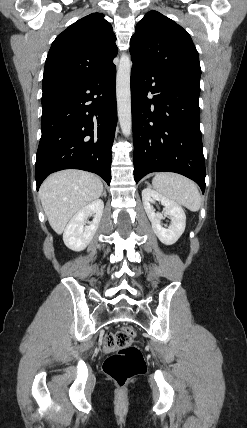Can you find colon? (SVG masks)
Returning a JSON list of instances; mask_svg holds the SVG:
<instances>
[{
	"instance_id": "obj_1",
	"label": "colon",
	"mask_w": 247,
	"mask_h": 428,
	"mask_svg": "<svg viewBox=\"0 0 247 428\" xmlns=\"http://www.w3.org/2000/svg\"><path fill=\"white\" fill-rule=\"evenodd\" d=\"M134 338L135 331L130 326L104 337V347L113 353L105 360L103 370L119 386L144 373L146 368L141 350L132 345Z\"/></svg>"
}]
</instances>
